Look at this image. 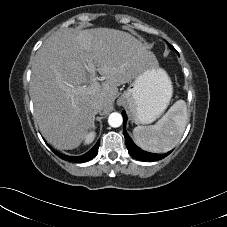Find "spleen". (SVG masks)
<instances>
[{
	"instance_id": "spleen-1",
	"label": "spleen",
	"mask_w": 227,
	"mask_h": 227,
	"mask_svg": "<svg viewBox=\"0 0 227 227\" xmlns=\"http://www.w3.org/2000/svg\"><path fill=\"white\" fill-rule=\"evenodd\" d=\"M187 119L186 103L184 100H178L157 124L135 127L133 129L135 143L143 150L165 153L180 141Z\"/></svg>"
}]
</instances>
